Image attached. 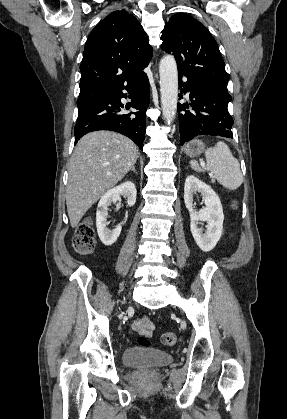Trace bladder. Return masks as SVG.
I'll list each match as a JSON object with an SVG mask.
<instances>
[{
  "mask_svg": "<svg viewBox=\"0 0 287 419\" xmlns=\"http://www.w3.org/2000/svg\"><path fill=\"white\" fill-rule=\"evenodd\" d=\"M172 360V356L168 353L143 346H129L123 353L124 364L137 369H148L168 365Z\"/></svg>",
  "mask_w": 287,
  "mask_h": 419,
  "instance_id": "31cf9c89",
  "label": "bladder"
}]
</instances>
